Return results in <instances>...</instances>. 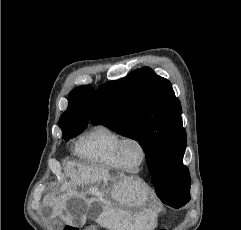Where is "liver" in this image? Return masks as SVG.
<instances>
[{"label": "liver", "instance_id": "liver-1", "mask_svg": "<svg viewBox=\"0 0 241 230\" xmlns=\"http://www.w3.org/2000/svg\"><path fill=\"white\" fill-rule=\"evenodd\" d=\"M70 178L69 182L62 185L64 192L62 199L55 195L44 197V203L50 205L53 214L59 216L66 224L73 225L72 215L69 212L63 214L67 210L66 202L70 198L77 197L86 205V211L91 208L93 202L101 205L102 211L95 222L109 230H152L156 227L157 211L147 207L149 193L131 177L125 175L111 177L108 169L77 165V169L72 168ZM115 180H118L116 184H108L109 181ZM88 183L89 189L77 191V186L84 188ZM104 192H109L113 202L104 198ZM87 194L93 197L88 199ZM85 219L84 215L83 223Z\"/></svg>", "mask_w": 241, "mask_h": 230}]
</instances>
